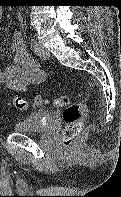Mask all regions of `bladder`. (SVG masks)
<instances>
[{
	"mask_svg": "<svg viewBox=\"0 0 121 197\" xmlns=\"http://www.w3.org/2000/svg\"><path fill=\"white\" fill-rule=\"evenodd\" d=\"M53 119L52 112L41 110L17 122L13 126V131L16 133H44L51 128Z\"/></svg>",
	"mask_w": 121,
	"mask_h": 197,
	"instance_id": "31cf9c89",
	"label": "bladder"
}]
</instances>
